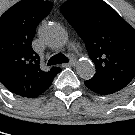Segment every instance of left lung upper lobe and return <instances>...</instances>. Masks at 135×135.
Returning a JSON list of instances; mask_svg holds the SVG:
<instances>
[{
	"label": "left lung upper lobe",
	"mask_w": 135,
	"mask_h": 135,
	"mask_svg": "<svg viewBox=\"0 0 135 135\" xmlns=\"http://www.w3.org/2000/svg\"><path fill=\"white\" fill-rule=\"evenodd\" d=\"M60 10L96 66L90 81L115 91L129 84L135 76V29L103 0H68Z\"/></svg>",
	"instance_id": "obj_1"
}]
</instances>
